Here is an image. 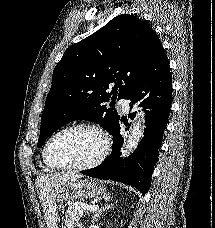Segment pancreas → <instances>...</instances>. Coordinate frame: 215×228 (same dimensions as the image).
<instances>
[{
  "mask_svg": "<svg viewBox=\"0 0 215 228\" xmlns=\"http://www.w3.org/2000/svg\"><path fill=\"white\" fill-rule=\"evenodd\" d=\"M88 212L86 214H83L82 210L81 212H78V210H75V206H69L66 210V216H65V226L67 228H82L80 224L81 218L83 216H87Z\"/></svg>",
  "mask_w": 215,
  "mask_h": 228,
  "instance_id": "cf45deb5",
  "label": "pancreas"
}]
</instances>
